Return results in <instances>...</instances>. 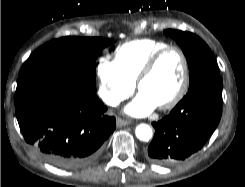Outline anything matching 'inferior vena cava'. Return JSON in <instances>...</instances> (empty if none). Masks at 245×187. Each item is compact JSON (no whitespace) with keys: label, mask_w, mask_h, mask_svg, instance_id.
<instances>
[{"label":"inferior vena cava","mask_w":245,"mask_h":187,"mask_svg":"<svg viewBox=\"0 0 245 187\" xmlns=\"http://www.w3.org/2000/svg\"><path fill=\"white\" fill-rule=\"evenodd\" d=\"M109 104H110V105H116V104H117V102H115V101H111Z\"/></svg>","instance_id":"1"}]
</instances>
